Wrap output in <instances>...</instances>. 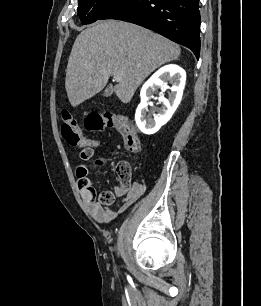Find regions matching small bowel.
Returning a JSON list of instances; mask_svg holds the SVG:
<instances>
[{"label": "small bowel", "instance_id": "small-bowel-1", "mask_svg": "<svg viewBox=\"0 0 261 306\" xmlns=\"http://www.w3.org/2000/svg\"><path fill=\"white\" fill-rule=\"evenodd\" d=\"M98 145V141L92 140V148ZM93 149L88 153L87 157H81L83 160H87L91 157ZM78 179L85 175L88 177V169L85 165L81 164L76 169ZM118 194H125L122 201L115 207L110 208L109 206L103 205L99 202L91 200V192L81 190V197L85 202L89 213L99 223H110L113 221L118 214L123 213L133 203H135L144 193L143 186L138 183H132L127 189L117 188Z\"/></svg>", "mask_w": 261, "mask_h": 306}]
</instances>
